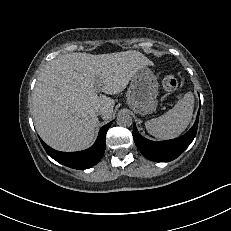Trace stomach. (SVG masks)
Returning a JSON list of instances; mask_svg holds the SVG:
<instances>
[{"instance_id": "obj_1", "label": "stomach", "mask_w": 231, "mask_h": 231, "mask_svg": "<svg viewBox=\"0 0 231 231\" xmlns=\"http://www.w3.org/2000/svg\"><path fill=\"white\" fill-rule=\"evenodd\" d=\"M159 84L147 66L137 70L126 94L128 106L137 114L147 115L156 110Z\"/></svg>"}]
</instances>
